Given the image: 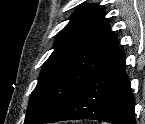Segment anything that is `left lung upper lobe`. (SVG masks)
Masks as SVG:
<instances>
[{
  "label": "left lung upper lobe",
  "mask_w": 145,
  "mask_h": 124,
  "mask_svg": "<svg viewBox=\"0 0 145 124\" xmlns=\"http://www.w3.org/2000/svg\"><path fill=\"white\" fill-rule=\"evenodd\" d=\"M104 9L84 5L55 39L33 90L24 124H43L118 51Z\"/></svg>",
  "instance_id": "1"
}]
</instances>
